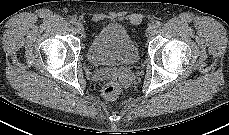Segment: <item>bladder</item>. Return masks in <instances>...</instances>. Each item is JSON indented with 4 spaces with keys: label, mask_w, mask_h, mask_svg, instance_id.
I'll return each instance as SVG.
<instances>
[{
    "label": "bladder",
    "mask_w": 229,
    "mask_h": 135,
    "mask_svg": "<svg viewBox=\"0 0 229 135\" xmlns=\"http://www.w3.org/2000/svg\"><path fill=\"white\" fill-rule=\"evenodd\" d=\"M87 59L95 66L134 65L139 60V51L124 26L109 23L91 39Z\"/></svg>",
    "instance_id": "1"
}]
</instances>
